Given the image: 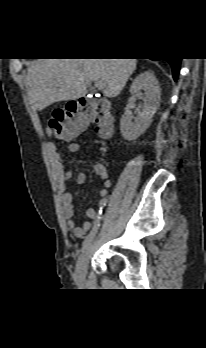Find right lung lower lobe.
Listing matches in <instances>:
<instances>
[{"label": "right lung lower lobe", "mask_w": 206, "mask_h": 348, "mask_svg": "<svg viewBox=\"0 0 206 348\" xmlns=\"http://www.w3.org/2000/svg\"><path fill=\"white\" fill-rule=\"evenodd\" d=\"M165 60L170 63V65L172 67L173 78L176 81L178 78L179 71H180L181 59L180 58H169V59H165Z\"/></svg>", "instance_id": "1"}]
</instances>
